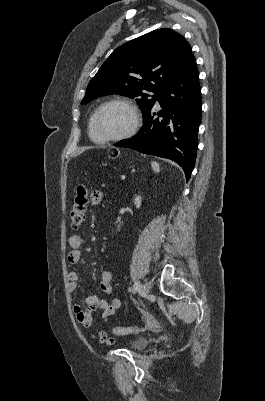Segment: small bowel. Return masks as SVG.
Masks as SVG:
<instances>
[{
    "mask_svg": "<svg viewBox=\"0 0 265 401\" xmlns=\"http://www.w3.org/2000/svg\"><path fill=\"white\" fill-rule=\"evenodd\" d=\"M101 201V192L93 191L90 194V203L92 205H99ZM68 243L71 250L68 253L67 260L70 264H77L81 260L82 239L79 235L74 234L69 237ZM68 277L70 281L69 288L71 291H74L77 288L79 274L77 271L73 270L69 272ZM112 278L113 274L110 270H105L101 273L99 279V288L102 293L108 295L112 292ZM85 303L87 305L86 310L80 305H75L73 307V310L79 323H81L86 328H90L92 326L91 314L94 310H101V318L103 321L107 322L109 318L114 315L117 309L120 307L119 300L114 299L112 302H108L107 300L96 295L88 296L85 299ZM97 335L99 342L101 343L109 344L113 342V338L109 337L106 332L100 331Z\"/></svg>",
    "mask_w": 265,
    "mask_h": 401,
    "instance_id": "c3829d8e",
    "label": "small bowel"
}]
</instances>
